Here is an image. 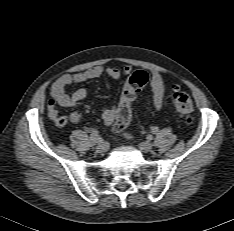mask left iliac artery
<instances>
[{
	"label": "left iliac artery",
	"mask_w": 234,
	"mask_h": 231,
	"mask_svg": "<svg viewBox=\"0 0 234 231\" xmlns=\"http://www.w3.org/2000/svg\"><path fill=\"white\" fill-rule=\"evenodd\" d=\"M151 132L153 133V134H157L158 132H159V128L158 127H152L151 128Z\"/></svg>",
	"instance_id": "1"
}]
</instances>
